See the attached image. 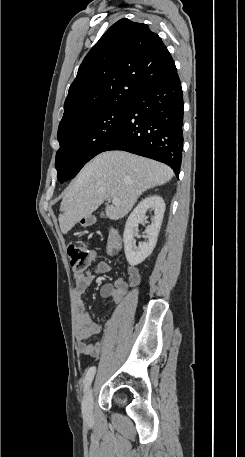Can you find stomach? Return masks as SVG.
I'll return each instance as SVG.
<instances>
[{
  "label": "stomach",
  "instance_id": "stomach-1",
  "mask_svg": "<svg viewBox=\"0 0 245 457\" xmlns=\"http://www.w3.org/2000/svg\"><path fill=\"white\" fill-rule=\"evenodd\" d=\"M82 226H87V224H90L91 220H90V216H85V218H83V220H80Z\"/></svg>",
  "mask_w": 245,
  "mask_h": 457
}]
</instances>
